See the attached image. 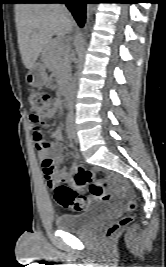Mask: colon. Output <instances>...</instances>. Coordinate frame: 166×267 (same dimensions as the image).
<instances>
[{"mask_svg": "<svg viewBox=\"0 0 166 267\" xmlns=\"http://www.w3.org/2000/svg\"><path fill=\"white\" fill-rule=\"evenodd\" d=\"M28 102L31 107V115L30 117L33 120H38L40 116L49 110L53 106L52 99L49 95L38 92L32 91L28 95ZM37 140L39 143L44 142V136L42 132H38ZM44 171L47 174H52L54 172V166L51 162L46 161L43 164ZM75 185L76 187H84L89 185L91 193L99 198L102 199L104 196L103 194L107 191L105 190V183L108 182L112 186H117L118 178L117 177H109L107 181H95L92 171L79 167L77 173L75 175ZM55 200L57 203L67 209H71L75 212H82L87 209L89 205V199L80 196L76 190L72 189L69 186L57 183L55 187ZM136 208V202L131 201L128 204V211L131 212ZM132 218L129 214L122 216L112 224L108 226L106 229L105 235L106 237L110 238L117 231H119L124 226L128 225L131 222Z\"/></svg>", "mask_w": 166, "mask_h": 267, "instance_id": "1", "label": "colon"}]
</instances>
